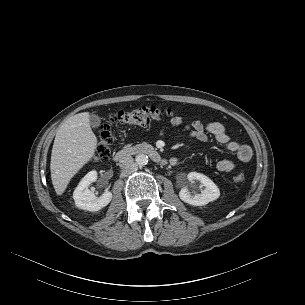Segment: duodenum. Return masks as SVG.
Returning a JSON list of instances; mask_svg holds the SVG:
<instances>
[{"mask_svg": "<svg viewBox=\"0 0 305 305\" xmlns=\"http://www.w3.org/2000/svg\"><path fill=\"white\" fill-rule=\"evenodd\" d=\"M140 153L148 155L159 164L164 165L167 163V160L160 154V152L148 144H138L121 148L114 153L113 157L115 161H120L127 156H134Z\"/></svg>", "mask_w": 305, "mask_h": 305, "instance_id": "duodenum-1", "label": "duodenum"}]
</instances>
